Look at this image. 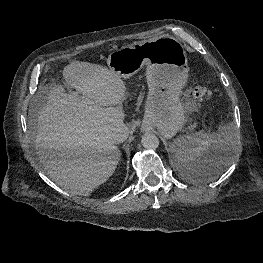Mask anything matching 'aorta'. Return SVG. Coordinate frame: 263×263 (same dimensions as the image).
Here are the masks:
<instances>
[{"label": "aorta", "mask_w": 263, "mask_h": 263, "mask_svg": "<svg viewBox=\"0 0 263 263\" xmlns=\"http://www.w3.org/2000/svg\"><path fill=\"white\" fill-rule=\"evenodd\" d=\"M141 144L147 150H155L159 146V139L152 133H146L142 136Z\"/></svg>", "instance_id": "762f6f07"}]
</instances>
